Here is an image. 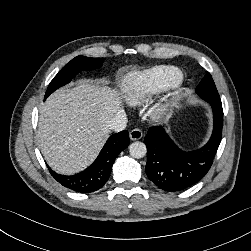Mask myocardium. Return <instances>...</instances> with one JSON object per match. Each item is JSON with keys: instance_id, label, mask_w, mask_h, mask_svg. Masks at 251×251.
Wrapping results in <instances>:
<instances>
[{"instance_id": "f54148a6", "label": "myocardium", "mask_w": 251, "mask_h": 251, "mask_svg": "<svg viewBox=\"0 0 251 251\" xmlns=\"http://www.w3.org/2000/svg\"><path fill=\"white\" fill-rule=\"evenodd\" d=\"M179 100L178 92H173L168 95L162 102L156 104L152 109L154 118H162L167 116L176 107Z\"/></svg>"}]
</instances>
